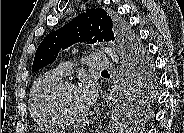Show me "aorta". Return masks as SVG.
I'll use <instances>...</instances> for the list:
<instances>
[{
	"instance_id": "obj_1",
	"label": "aorta",
	"mask_w": 184,
	"mask_h": 133,
	"mask_svg": "<svg viewBox=\"0 0 184 133\" xmlns=\"http://www.w3.org/2000/svg\"><path fill=\"white\" fill-rule=\"evenodd\" d=\"M101 49H102V51H103L104 53H106V54L109 56V58H110L113 62H115L116 64H118V62H119V57L117 56V53H116V51H115L114 48L109 47V46H106V45H101Z\"/></svg>"
}]
</instances>
